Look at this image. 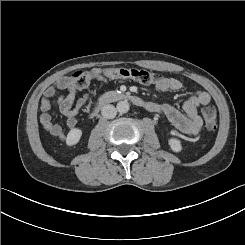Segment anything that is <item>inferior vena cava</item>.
<instances>
[{"label":"inferior vena cava","mask_w":245,"mask_h":245,"mask_svg":"<svg viewBox=\"0 0 245 245\" xmlns=\"http://www.w3.org/2000/svg\"><path fill=\"white\" fill-rule=\"evenodd\" d=\"M101 114L106 119H113L117 114V110H116L115 106H113L111 104H107V105L103 106Z\"/></svg>","instance_id":"inferior-vena-cava-1"}]
</instances>
